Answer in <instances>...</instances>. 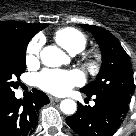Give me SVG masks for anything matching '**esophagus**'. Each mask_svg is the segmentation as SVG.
Returning <instances> with one entry per match:
<instances>
[{
	"instance_id": "obj_1",
	"label": "esophagus",
	"mask_w": 136,
	"mask_h": 136,
	"mask_svg": "<svg viewBox=\"0 0 136 136\" xmlns=\"http://www.w3.org/2000/svg\"><path fill=\"white\" fill-rule=\"evenodd\" d=\"M49 98H50L51 102H59V101H61L60 98H57V97H54V96H50Z\"/></svg>"
}]
</instances>
